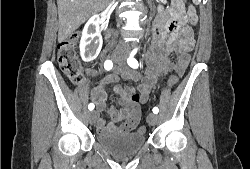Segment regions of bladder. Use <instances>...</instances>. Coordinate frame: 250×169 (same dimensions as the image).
<instances>
[{"label":"bladder","mask_w":250,"mask_h":169,"mask_svg":"<svg viewBox=\"0 0 250 169\" xmlns=\"http://www.w3.org/2000/svg\"><path fill=\"white\" fill-rule=\"evenodd\" d=\"M96 144L113 157L127 158L137 154L147 144L145 134L113 132L98 133Z\"/></svg>","instance_id":"31cf9c89"}]
</instances>
